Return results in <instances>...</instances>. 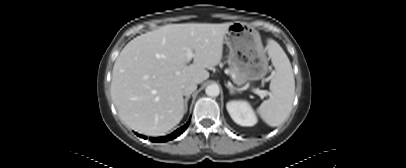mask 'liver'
Returning <instances> with one entry per match:
<instances>
[{
    "label": "liver",
    "mask_w": 406,
    "mask_h": 168,
    "mask_svg": "<svg viewBox=\"0 0 406 168\" xmlns=\"http://www.w3.org/2000/svg\"><path fill=\"white\" fill-rule=\"evenodd\" d=\"M230 25L170 24L131 40L114 63L110 87L121 121L149 136L164 135L179 124L183 85L209 78L207 69L220 63ZM187 49L194 53L190 65Z\"/></svg>",
    "instance_id": "6515ba94"
}]
</instances>
